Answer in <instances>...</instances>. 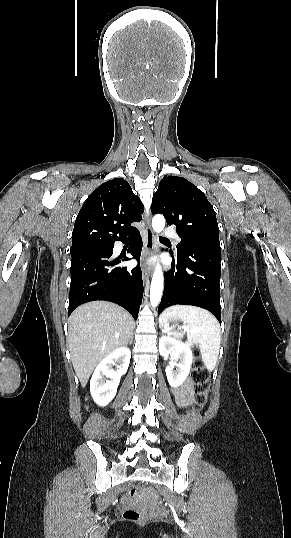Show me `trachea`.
Listing matches in <instances>:
<instances>
[{"label": "trachea", "mask_w": 291, "mask_h": 538, "mask_svg": "<svg viewBox=\"0 0 291 538\" xmlns=\"http://www.w3.org/2000/svg\"><path fill=\"white\" fill-rule=\"evenodd\" d=\"M159 239H160V240L168 241V239H166V238H164V237H160Z\"/></svg>", "instance_id": "3493384b"}]
</instances>
